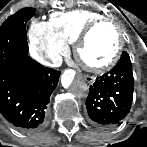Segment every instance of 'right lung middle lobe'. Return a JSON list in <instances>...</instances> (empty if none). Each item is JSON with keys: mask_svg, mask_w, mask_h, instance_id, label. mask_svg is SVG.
I'll list each match as a JSON object with an SVG mask.
<instances>
[{"mask_svg": "<svg viewBox=\"0 0 147 147\" xmlns=\"http://www.w3.org/2000/svg\"><path fill=\"white\" fill-rule=\"evenodd\" d=\"M35 13L24 8L10 16L0 27V69L15 59L27 56L26 23Z\"/></svg>", "mask_w": 147, "mask_h": 147, "instance_id": "obj_1", "label": "right lung middle lobe"}]
</instances>
